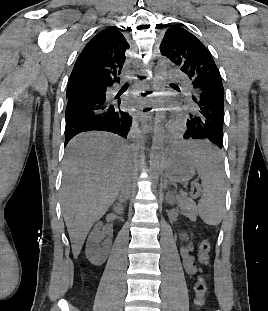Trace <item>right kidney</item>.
I'll return each mask as SVG.
<instances>
[{"label":"right kidney","instance_id":"ca27d5eb","mask_svg":"<svg viewBox=\"0 0 268 311\" xmlns=\"http://www.w3.org/2000/svg\"><path fill=\"white\" fill-rule=\"evenodd\" d=\"M116 210L119 211L120 209L116 208ZM101 228L102 224L100 222L95 225L88 237L85 251L87 259L96 266H100L106 261L111 244L109 239L100 244L105 238V232Z\"/></svg>","mask_w":268,"mask_h":311}]
</instances>
